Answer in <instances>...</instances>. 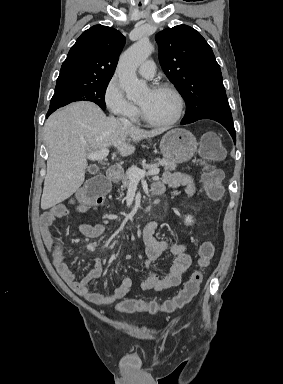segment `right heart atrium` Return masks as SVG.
Returning <instances> with one entry per match:
<instances>
[{
    "label": "right heart atrium",
    "mask_w": 283,
    "mask_h": 384,
    "mask_svg": "<svg viewBox=\"0 0 283 384\" xmlns=\"http://www.w3.org/2000/svg\"><path fill=\"white\" fill-rule=\"evenodd\" d=\"M103 98L110 113L122 121H132L139 114L137 106L126 98L121 83L116 76L108 80L104 88Z\"/></svg>",
    "instance_id": "1"
}]
</instances>
